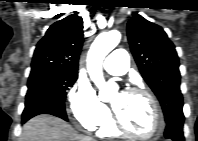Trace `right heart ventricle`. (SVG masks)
Instances as JSON below:
<instances>
[{
	"label": "right heart ventricle",
	"mask_w": 198,
	"mask_h": 141,
	"mask_svg": "<svg viewBox=\"0 0 198 141\" xmlns=\"http://www.w3.org/2000/svg\"><path fill=\"white\" fill-rule=\"evenodd\" d=\"M98 133L102 136H115L118 134L113 122L109 119L99 127Z\"/></svg>",
	"instance_id": "right-heart-ventricle-1"
}]
</instances>
